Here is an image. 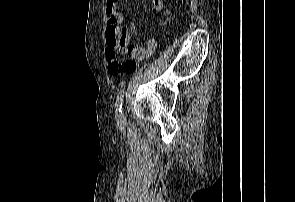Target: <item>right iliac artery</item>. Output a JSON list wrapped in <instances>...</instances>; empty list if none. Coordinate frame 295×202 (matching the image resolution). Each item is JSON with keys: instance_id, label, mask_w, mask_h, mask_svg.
I'll list each match as a JSON object with an SVG mask.
<instances>
[{"instance_id": "82829eb1", "label": "right iliac artery", "mask_w": 295, "mask_h": 202, "mask_svg": "<svg viewBox=\"0 0 295 202\" xmlns=\"http://www.w3.org/2000/svg\"><path fill=\"white\" fill-rule=\"evenodd\" d=\"M123 97H124V90L120 91L118 96H117V100H116V116L118 118H122L123 117V113H122V103H123Z\"/></svg>"}]
</instances>
